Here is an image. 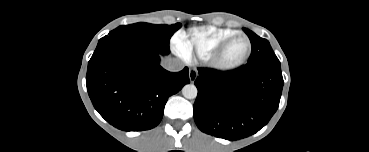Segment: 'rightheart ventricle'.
Segmentation results:
<instances>
[{
  "label": "right heart ventricle",
  "mask_w": 369,
  "mask_h": 152,
  "mask_svg": "<svg viewBox=\"0 0 369 152\" xmlns=\"http://www.w3.org/2000/svg\"><path fill=\"white\" fill-rule=\"evenodd\" d=\"M237 33L238 31L233 29L215 26L192 28L177 37L178 49L188 60L193 58L206 60L222 41Z\"/></svg>",
  "instance_id": "e07e8e85"
}]
</instances>
